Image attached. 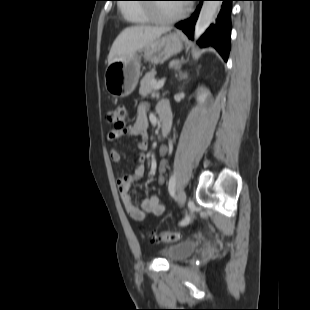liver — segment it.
Here are the masks:
<instances>
[{"instance_id":"1","label":"liver","mask_w":310,"mask_h":310,"mask_svg":"<svg viewBox=\"0 0 310 310\" xmlns=\"http://www.w3.org/2000/svg\"><path fill=\"white\" fill-rule=\"evenodd\" d=\"M170 27L133 26L124 29L115 39L108 55V64L127 59L142 51Z\"/></svg>"}]
</instances>
